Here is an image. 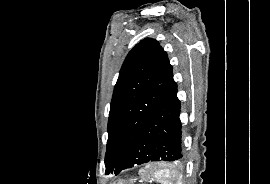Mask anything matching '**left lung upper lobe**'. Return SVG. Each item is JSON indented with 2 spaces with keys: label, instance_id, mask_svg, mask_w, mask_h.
I'll use <instances>...</instances> for the list:
<instances>
[{
  "label": "left lung upper lobe",
  "instance_id": "5c2ea615",
  "mask_svg": "<svg viewBox=\"0 0 270 184\" xmlns=\"http://www.w3.org/2000/svg\"><path fill=\"white\" fill-rule=\"evenodd\" d=\"M167 53L155 39L141 40L127 55L114 88L105 155L106 174L116 172L173 84Z\"/></svg>",
  "mask_w": 270,
  "mask_h": 184
}]
</instances>
